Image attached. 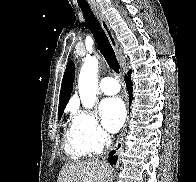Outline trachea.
Returning a JSON list of instances; mask_svg holds the SVG:
<instances>
[{
	"label": "trachea",
	"mask_w": 196,
	"mask_h": 182,
	"mask_svg": "<svg viewBox=\"0 0 196 182\" xmlns=\"http://www.w3.org/2000/svg\"><path fill=\"white\" fill-rule=\"evenodd\" d=\"M81 11L84 15L86 25L90 29L93 37L97 43V46L104 56L109 67L117 74L120 73V64L116 58L115 52L105 34L103 28L101 27L99 21L91 11L90 7L80 6Z\"/></svg>",
	"instance_id": "obj_1"
}]
</instances>
